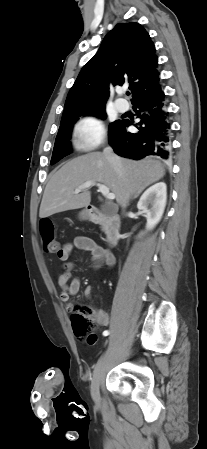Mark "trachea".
Returning a JSON list of instances; mask_svg holds the SVG:
<instances>
[{
    "label": "trachea",
    "instance_id": "obj_1",
    "mask_svg": "<svg viewBox=\"0 0 207 449\" xmlns=\"http://www.w3.org/2000/svg\"><path fill=\"white\" fill-rule=\"evenodd\" d=\"M126 94H127V95H130V92H127Z\"/></svg>",
    "mask_w": 207,
    "mask_h": 449
}]
</instances>
